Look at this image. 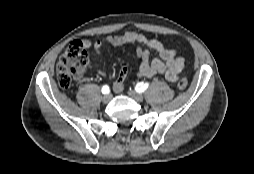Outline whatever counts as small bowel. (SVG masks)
<instances>
[{
    "label": "small bowel",
    "mask_w": 254,
    "mask_h": 174,
    "mask_svg": "<svg viewBox=\"0 0 254 174\" xmlns=\"http://www.w3.org/2000/svg\"><path fill=\"white\" fill-rule=\"evenodd\" d=\"M127 44L137 45L136 56L141 60L138 74L141 77L151 78L162 75L169 82H176L182 75L185 67V59L177 55L176 50L167 48L161 41L149 39L141 33L128 31L121 35L109 36L95 41L84 40L85 48H92L94 54L99 56L107 46H123ZM151 52L158 54L157 58H151ZM101 76L105 72L98 70ZM128 74V68H122L119 78L113 83V90L120 93L124 89V80Z\"/></svg>",
    "instance_id": "obj_1"
}]
</instances>
